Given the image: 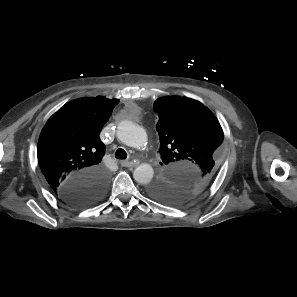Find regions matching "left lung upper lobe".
<instances>
[{
    "label": "left lung upper lobe",
    "instance_id": "1",
    "mask_svg": "<svg viewBox=\"0 0 297 297\" xmlns=\"http://www.w3.org/2000/svg\"><path fill=\"white\" fill-rule=\"evenodd\" d=\"M154 109L165 174L149 185L148 193L182 205L203 193L218 172L223 130L208 108L190 98H159Z\"/></svg>",
    "mask_w": 297,
    "mask_h": 297
}]
</instances>
